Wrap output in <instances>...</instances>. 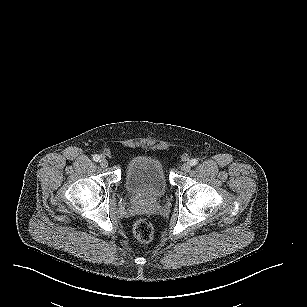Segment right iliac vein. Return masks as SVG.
I'll use <instances>...</instances> for the list:
<instances>
[{
    "label": "right iliac vein",
    "instance_id": "obj_1",
    "mask_svg": "<svg viewBox=\"0 0 307 307\" xmlns=\"http://www.w3.org/2000/svg\"><path fill=\"white\" fill-rule=\"evenodd\" d=\"M100 166L102 168H106L108 166V161L106 159H101L100 160Z\"/></svg>",
    "mask_w": 307,
    "mask_h": 307
}]
</instances>
